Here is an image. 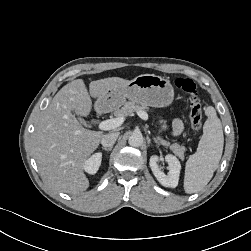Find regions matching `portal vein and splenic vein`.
Segmentation results:
<instances>
[{
    "instance_id": "obj_1",
    "label": "portal vein and splenic vein",
    "mask_w": 251,
    "mask_h": 251,
    "mask_svg": "<svg viewBox=\"0 0 251 251\" xmlns=\"http://www.w3.org/2000/svg\"><path fill=\"white\" fill-rule=\"evenodd\" d=\"M137 115L143 120L148 119V114L145 111H139L137 112ZM124 120H125L124 117H117V118L104 120L99 123L98 127L100 130H104V131L112 130L121 126Z\"/></svg>"
}]
</instances>
